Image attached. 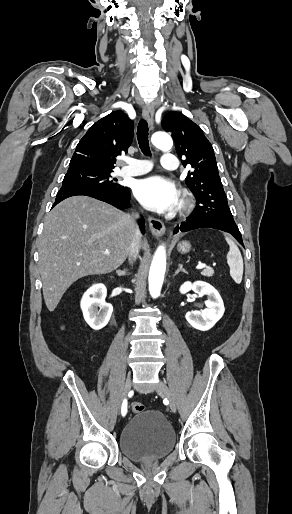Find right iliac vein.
I'll use <instances>...</instances> for the list:
<instances>
[{
  "instance_id": "right-iliac-vein-1",
  "label": "right iliac vein",
  "mask_w": 292,
  "mask_h": 514,
  "mask_svg": "<svg viewBox=\"0 0 292 514\" xmlns=\"http://www.w3.org/2000/svg\"><path fill=\"white\" fill-rule=\"evenodd\" d=\"M130 389H131V378H130V375H128L125 385H124L123 392H122V400H124L126 398V396L129 394Z\"/></svg>"
}]
</instances>
